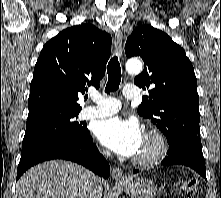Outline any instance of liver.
<instances>
[{
    "instance_id": "1",
    "label": "liver",
    "mask_w": 221,
    "mask_h": 198,
    "mask_svg": "<svg viewBox=\"0 0 221 198\" xmlns=\"http://www.w3.org/2000/svg\"><path fill=\"white\" fill-rule=\"evenodd\" d=\"M92 173L75 163L53 160L30 168L17 182L16 198H90ZM103 193L100 184L97 198Z\"/></svg>"
}]
</instances>
